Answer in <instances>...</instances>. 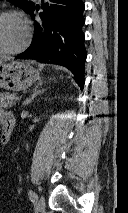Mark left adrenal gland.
<instances>
[{
  "label": "left adrenal gland",
  "mask_w": 128,
  "mask_h": 213,
  "mask_svg": "<svg viewBox=\"0 0 128 213\" xmlns=\"http://www.w3.org/2000/svg\"><path fill=\"white\" fill-rule=\"evenodd\" d=\"M42 82H40L36 87L33 89L32 94L23 102V106L28 105L29 103L32 102V100L39 94L43 93L45 89H39V87L42 86Z\"/></svg>",
  "instance_id": "left-adrenal-gland-1"
}]
</instances>
